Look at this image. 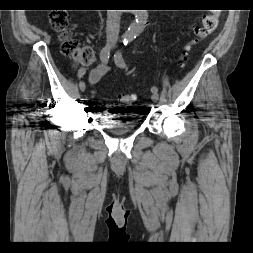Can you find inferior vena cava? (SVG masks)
I'll return each instance as SVG.
<instances>
[{"label": "inferior vena cava", "mask_w": 253, "mask_h": 253, "mask_svg": "<svg viewBox=\"0 0 253 253\" xmlns=\"http://www.w3.org/2000/svg\"><path fill=\"white\" fill-rule=\"evenodd\" d=\"M120 28V10H107L106 35L108 39H116Z\"/></svg>", "instance_id": "602c4592"}]
</instances>
